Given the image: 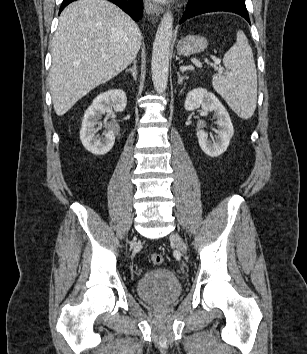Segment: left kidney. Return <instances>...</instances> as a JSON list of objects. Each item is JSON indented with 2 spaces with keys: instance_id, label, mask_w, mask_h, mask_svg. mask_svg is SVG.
I'll use <instances>...</instances> for the list:
<instances>
[{
  "instance_id": "1",
  "label": "left kidney",
  "mask_w": 307,
  "mask_h": 354,
  "mask_svg": "<svg viewBox=\"0 0 307 354\" xmlns=\"http://www.w3.org/2000/svg\"><path fill=\"white\" fill-rule=\"evenodd\" d=\"M201 106L207 112H214L216 135L212 141L204 130L197 132L198 143L205 154L210 157H218L223 154L230 143L234 129L230 116L219 99L207 89L196 88L187 94L184 107L187 111H193Z\"/></svg>"
}]
</instances>
